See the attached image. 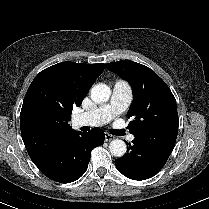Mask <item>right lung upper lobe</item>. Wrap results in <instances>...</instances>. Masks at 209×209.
<instances>
[{
    "label": "right lung upper lobe",
    "mask_w": 209,
    "mask_h": 209,
    "mask_svg": "<svg viewBox=\"0 0 209 209\" xmlns=\"http://www.w3.org/2000/svg\"><path fill=\"white\" fill-rule=\"evenodd\" d=\"M105 65L62 62L41 71L24 97L21 113V135L33 162L40 160L74 130L64 115L44 116L36 107V92L42 87L59 106H80L90 87L104 71ZM47 95V94H46Z\"/></svg>",
    "instance_id": "cb5924a9"
}]
</instances>
